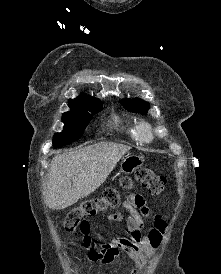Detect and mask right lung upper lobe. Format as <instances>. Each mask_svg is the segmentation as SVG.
<instances>
[{
	"label": "right lung upper lobe",
	"instance_id": "obj_1",
	"mask_svg": "<svg viewBox=\"0 0 221 274\" xmlns=\"http://www.w3.org/2000/svg\"><path fill=\"white\" fill-rule=\"evenodd\" d=\"M85 98H91V97H89V96L83 94V95H80L79 97L75 98L74 100L70 99V100H69V104H75V103H77V102H79L80 100L85 99Z\"/></svg>",
	"mask_w": 221,
	"mask_h": 274
}]
</instances>
